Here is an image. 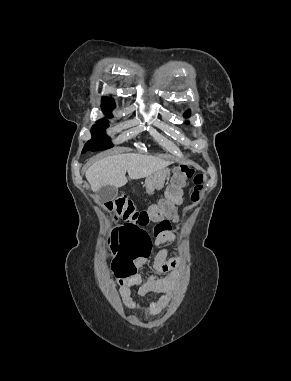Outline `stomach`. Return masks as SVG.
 <instances>
[{
  "label": "stomach",
  "instance_id": "obj_1",
  "mask_svg": "<svg viewBox=\"0 0 291 381\" xmlns=\"http://www.w3.org/2000/svg\"><path fill=\"white\" fill-rule=\"evenodd\" d=\"M170 176L169 169L160 170L145 180L147 193H153L155 190H161L164 187L166 179Z\"/></svg>",
  "mask_w": 291,
  "mask_h": 381
}]
</instances>
